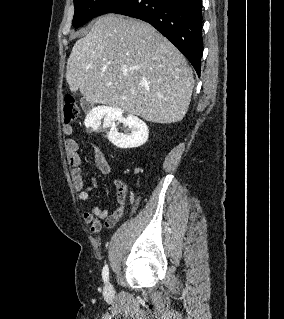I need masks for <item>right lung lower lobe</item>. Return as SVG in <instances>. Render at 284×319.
Returning a JSON list of instances; mask_svg holds the SVG:
<instances>
[{
  "label": "right lung lower lobe",
  "mask_w": 284,
  "mask_h": 319,
  "mask_svg": "<svg viewBox=\"0 0 284 319\" xmlns=\"http://www.w3.org/2000/svg\"><path fill=\"white\" fill-rule=\"evenodd\" d=\"M201 8L202 0H129L112 13L150 23L187 57L200 75Z\"/></svg>",
  "instance_id": "1"
}]
</instances>
